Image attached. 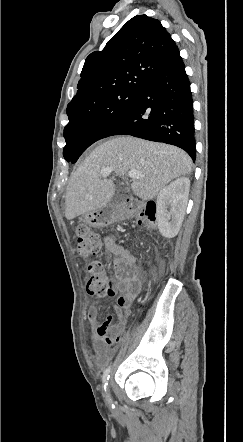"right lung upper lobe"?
Wrapping results in <instances>:
<instances>
[{"instance_id": "cb5924a9", "label": "right lung upper lobe", "mask_w": 243, "mask_h": 442, "mask_svg": "<svg viewBox=\"0 0 243 442\" xmlns=\"http://www.w3.org/2000/svg\"><path fill=\"white\" fill-rule=\"evenodd\" d=\"M177 53L178 47L159 20L147 15L131 18L102 51L87 57L67 115L89 108L107 96L139 91Z\"/></svg>"}]
</instances>
